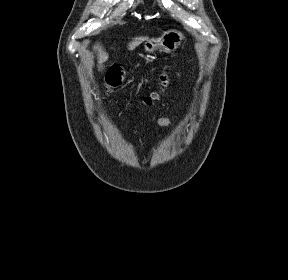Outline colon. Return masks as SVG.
Here are the masks:
<instances>
[{"instance_id":"obj_1","label":"colon","mask_w":288,"mask_h":280,"mask_svg":"<svg viewBox=\"0 0 288 280\" xmlns=\"http://www.w3.org/2000/svg\"><path fill=\"white\" fill-rule=\"evenodd\" d=\"M123 79V73L118 67H112L106 75V85L109 90L119 86ZM162 89L156 92H152L146 96L143 100L144 104L151 106L160 101L163 90L169 85L170 77L167 74H163L161 77Z\"/></svg>"}]
</instances>
